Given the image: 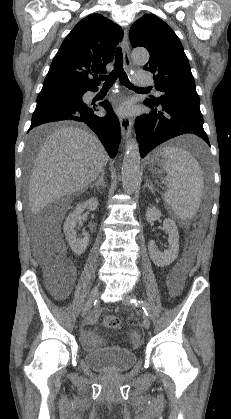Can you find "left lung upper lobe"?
Returning a JSON list of instances; mask_svg holds the SVG:
<instances>
[{"instance_id":"obj_1","label":"left lung upper lobe","mask_w":231,"mask_h":419,"mask_svg":"<svg viewBox=\"0 0 231 419\" xmlns=\"http://www.w3.org/2000/svg\"><path fill=\"white\" fill-rule=\"evenodd\" d=\"M133 47H145L150 53L143 69L151 71L157 90L163 95L148 99L154 104L165 100L200 101L183 46L175 32L160 18L145 14L129 32Z\"/></svg>"}]
</instances>
